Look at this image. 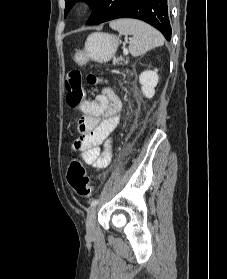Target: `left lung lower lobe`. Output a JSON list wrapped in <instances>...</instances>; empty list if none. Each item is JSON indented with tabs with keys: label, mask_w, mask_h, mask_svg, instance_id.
<instances>
[{
	"label": "left lung lower lobe",
	"mask_w": 227,
	"mask_h": 279,
	"mask_svg": "<svg viewBox=\"0 0 227 279\" xmlns=\"http://www.w3.org/2000/svg\"><path fill=\"white\" fill-rule=\"evenodd\" d=\"M118 18L145 21L167 40L171 39L167 0H98L86 24H100Z\"/></svg>",
	"instance_id": "obj_1"
}]
</instances>
